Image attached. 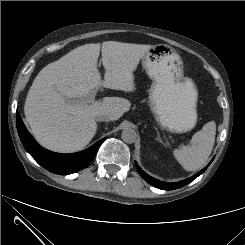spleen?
<instances>
[{"label":"spleen","mask_w":245,"mask_h":245,"mask_svg":"<svg viewBox=\"0 0 245 245\" xmlns=\"http://www.w3.org/2000/svg\"><path fill=\"white\" fill-rule=\"evenodd\" d=\"M215 135V122L206 123L200 131L192 136L189 145L173 151L175 158L187 171H195L202 168L214 147Z\"/></svg>","instance_id":"obj_1"}]
</instances>
